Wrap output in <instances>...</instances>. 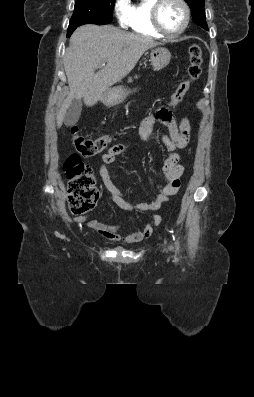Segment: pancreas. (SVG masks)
Returning <instances> with one entry per match:
<instances>
[{"instance_id": "obj_1", "label": "pancreas", "mask_w": 254, "mask_h": 397, "mask_svg": "<svg viewBox=\"0 0 254 397\" xmlns=\"http://www.w3.org/2000/svg\"><path fill=\"white\" fill-rule=\"evenodd\" d=\"M136 78H137V76H136ZM129 82H132V79H131V78L129 79Z\"/></svg>"}]
</instances>
